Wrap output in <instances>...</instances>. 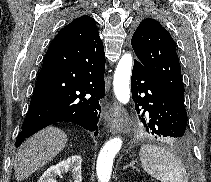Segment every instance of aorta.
<instances>
[{"label":"aorta","mask_w":211,"mask_h":182,"mask_svg":"<svg viewBox=\"0 0 211 182\" xmlns=\"http://www.w3.org/2000/svg\"><path fill=\"white\" fill-rule=\"evenodd\" d=\"M133 65V58L130 53H125L119 60L114 73V93L117 100L127 104L130 99V77ZM122 146V139L115 137L110 139L102 147L97 159V177L99 182H109L113 160Z\"/></svg>","instance_id":"aorta-1"}]
</instances>
